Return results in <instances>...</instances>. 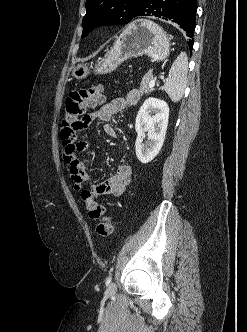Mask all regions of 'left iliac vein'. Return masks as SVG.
I'll return each instance as SVG.
<instances>
[{
  "mask_svg": "<svg viewBox=\"0 0 247 332\" xmlns=\"http://www.w3.org/2000/svg\"><path fill=\"white\" fill-rule=\"evenodd\" d=\"M116 292V285L115 283H110L109 286L107 287V294L108 295H113Z\"/></svg>",
  "mask_w": 247,
  "mask_h": 332,
  "instance_id": "4c4485c4",
  "label": "left iliac vein"
}]
</instances>
